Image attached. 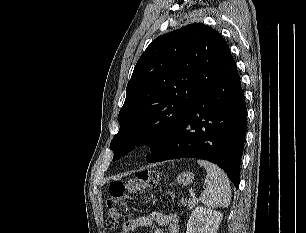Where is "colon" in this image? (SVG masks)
<instances>
[{"instance_id":"obj_1","label":"colon","mask_w":306,"mask_h":233,"mask_svg":"<svg viewBox=\"0 0 306 233\" xmlns=\"http://www.w3.org/2000/svg\"><path fill=\"white\" fill-rule=\"evenodd\" d=\"M159 178L158 171L147 170L129 180L111 182L108 189L110 197L107 200V226L111 229L118 228L129 215V201L145 188L155 186Z\"/></svg>"}]
</instances>
